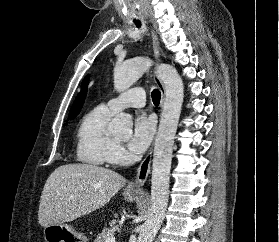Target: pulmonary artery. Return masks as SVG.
I'll use <instances>...</instances> for the list:
<instances>
[{"label":"pulmonary artery","instance_id":"1","mask_svg":"<svg viewBox=\"0 0 279 242\" xmlns=\"http://www.w3.org/2000/svg\"><path fill=\"white\" fill-rule=\"evenodd\" d=\"M146 103V92L142 87L133 88L108 101L107 107L117 112L127 107H143Z\"/></svg>","mask_w":279,"mask_h":242}]
</instances>
